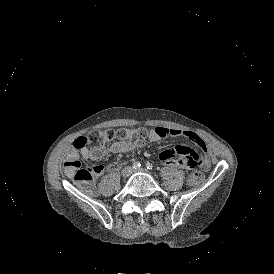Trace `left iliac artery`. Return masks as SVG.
I'll return each instance as SVG.
<instances>
[{
	"instance_id": "left-iliac-artery-1",
	"label": "left iliac artery",
	"mask_w": 274,
	"mask_h": 274,
	"mask_svg": "<svg viewBox=\"0 0 274 274\" xmlns=\"http://www.w3.org/2000/svg\"><path fill=\"white\" fill-rule=\"evenodd\" d=\"M146 168L149 169V170H151V169L153 168V165H152L151 163L148 162V163L146 164Z\"/></svg>"
}]
</instances>
